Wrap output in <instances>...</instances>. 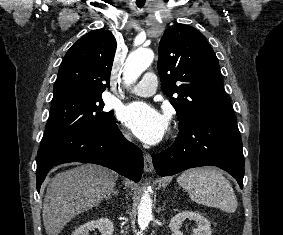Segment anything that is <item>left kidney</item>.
<instances>
[{
  "instance_id": "5707ae66",
  "label": "left kidney",
  "mask_w": 283,
  "mask_h": 235,
  "mask_svg": "<svg viewBox=\"0 0 283 235\" xmlns=\"http://www.w3.org/2000/svg\"><path fill=\"white\" fill-rule=\"evenodd\" d=\"M187 218L197 223V228L193 230L192 235H211V223L209 220L202 214L192 211H183L171 218L169 228L172 231V235H183L180 227Z\"/></svg>"
}]
</instances>
